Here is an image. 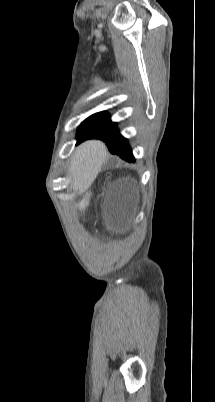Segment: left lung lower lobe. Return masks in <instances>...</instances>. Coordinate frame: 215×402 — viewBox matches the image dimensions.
Returning <instances> with one entry per match:
<instances>
[{
  "instance_id": "left-lung-lower-lobe-1",
  "label": "left lung lower lobe",
  "mask_w": 215,
  "mask_h": 402,
  "mask_svg": "<svg viewBox=\"0 0 215 402\" xmlns=\"http://www.w3.org/2000/svg\"><path fill=\"white\" fill-rule=\"evenodd\" d=\"M92 138L104 141L112 154H117L128 162L135 161L130 145L127 139L119 133L116 123L109 122L103 125L92 134L78 138L77 143Z\"/></svg>"
}]
</instances>
